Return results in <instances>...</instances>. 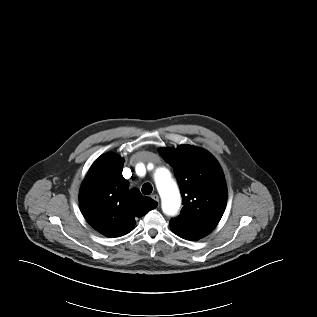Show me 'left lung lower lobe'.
Wrapping results in <instances>:
<instances>
[{
  "instance_id": "0a47b994",
  "label": "left lung lower lobe",
  "mask_w": 317,
  "mask_h": 317,
  "mask_svg": "<svg viewBox=\"0 0 317 317\" xmlns=\"http://www.w3.org/2000/svg\"><path fill=\"white\" fill-rule=\"evenodd\" d=\"M179 228L172 230L176 235L186 240H198L213 231V227L209 226H196L187 224H178Z\"/></svg>"
}]
</instances>
